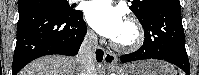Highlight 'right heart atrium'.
I'll return each instance as SVG.
<instances>
[{
  "label": "right heart atrium",
  "mask_w": 199,
  "mask_h": 75,
  "mask_svg": "<svg viewBox=\"0 0 199 75\" xmlns=\"http://www.w3.org/2000/svg\"><path fill=\"white\" fill-rule=\"evenodd\" d=\"M87 38L90 40V41H94L95 40V34L93 33V31L91 30H88L87 31Z\"/></svg>",
  "instance_id": "d8ad5b80"
}]
</instances>
